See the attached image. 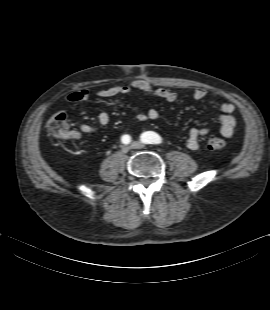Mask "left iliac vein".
Masks as SVG:
<instances>
[{
	"label": "left iliac vein",
	"instance_id": "obj_1",
	"mask_svg": "<svg viewBox=\"0 0 270 310\" xmlns=\"http://www.w3.org/2000/svg\"><path fill=\"white\" fill-rule=\"evenodd\" d=\"M145 147V144L140 141H134L131 143V148L133 149H142Z\"/></svg>",
	"mask_w": 270,
	"mask_h": 310
}]
</instances>
